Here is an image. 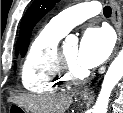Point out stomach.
Here are the masks:
<instances>
[{"mask_svg":"<svg viewBox=\"0 0 123 113\" xmlns=\"http://www.w3.org/2000/svg\"><path fill=\"white\" fill-rule=\"evenodd\" d=\"M80 98H81L83 101H86V100L88 99V97L83 96V95H82ZM9 112H21V113H23L24 110H23V108L20 107L19 105H17V104H12V105H10V107H9Z\"/></svg>","mask_w":123,"mask_h":113,"instance_id":"stomach-1","label":"stomach"}]
</instances>
